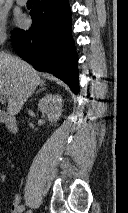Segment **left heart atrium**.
I'll return each instance as SVG.
<instances>
[{"mask_svg": "<svg viewBox=\"0 0 128 213\" xmlns=\"http://www.w3.org/2000/svg\"><path fill=\"white\" fill-rule=\"evenodd\" d=\"M19 23H20L21 25H23V24H24V19H20V20H19Z\"/></svg>", "mask_w": 128, "mask_h": 213, "instance_id": "left-heart-atrium-1", "label": "left heart atrium"}]
</instances>
